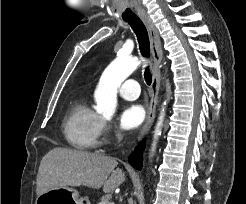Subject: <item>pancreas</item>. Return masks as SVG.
Wrapping results in <instances>:
<instances>
[{"label": "pancreas", "mask_w": 246, "mask_h": 204, "mask_svg": "<svg viewBox=\"0 0 246 204\" xmlns=\"http://www.w3.org/2000/svg\"><path fill=\"white\" fill-rule=\"evenodd\" d=\"M111 202H109L107 199H103L101 202L97 203V204H110Z\"/></svg>", "instance_id": "pancreas-1"}]
</instances>
